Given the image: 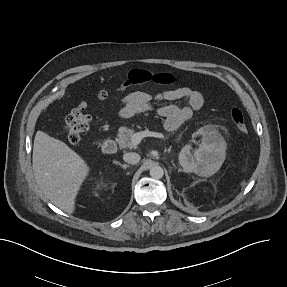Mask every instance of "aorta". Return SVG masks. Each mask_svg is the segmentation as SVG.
<instances>
[{
  "mask_svg": "<svg viewBox=\"0 0 287 287\" xmlns=\"http://www.w3.org/2000/svg\"><path fill=\"white\" fill-rule=\"evenodd\" d=\"M164 175L163 168L160 166H153L150 169V176L153 179H161Z\"/></svg>",
  "mask_w": 287,
  "mask_h": 287,
  "instance_id": "aorta-1",
  "label": "aorta"
}]
</instances>
